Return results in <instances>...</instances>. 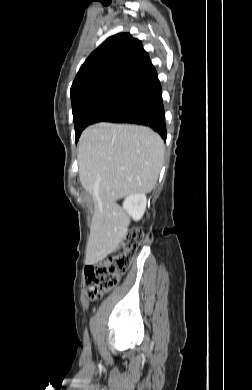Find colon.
<instances>
[{"mask_svg": "<svg viewBox=\"0 0 252 390\" xmlns=\"http://www.w3.org/2000/svg\"><path fill=\"white\" fill-rule=\"evenodd\" d=\"M143 239V232L134 229L120 242L118 251L106 260L85 269L89 297L97 299L114 288L120 276L128 270Z\"/></svg>", "mask_w": 252, "mask_h": 390, "instance_id": "1", "label": "colon"}]
</instances>
